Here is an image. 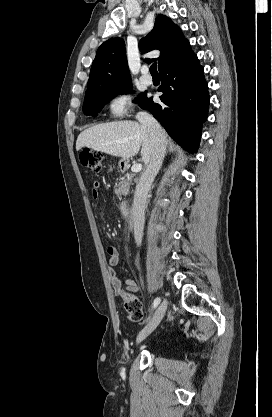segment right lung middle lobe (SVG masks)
<instances>
[{
	"label": "right lung middle lobe",
	"instance_id": "dd1d6c3e",
	"mask_svg": "<svg viewBox=\"0 0 272 417\" xmlns=\"http://www.w3.org/2000/svg\"><path fill=\"white\" fill-rule=\"evenodd\" d=\"M131 87V85H127L120 88L105 89L94 93L86 94L85 101L83 104V112L85 113V115H91L94 117L97 116V114L101 111L103 106L112 98H114L116 94L128 93L131 90ZM145 99L146 94L142 93L137 97L136 103L141 105Z\"/></svg>",
	"mask_w": 272,
	"mask_h": 417
}]
</instances>
